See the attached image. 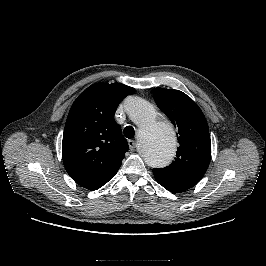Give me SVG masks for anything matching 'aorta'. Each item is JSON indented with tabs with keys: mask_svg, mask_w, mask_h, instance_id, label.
Masks as SVG:
<instances>
[{
	"mask_svg": "<svg viewBox=\"0 0 266 266\" xmlns=\"http://www.w3.org/2000/svg\"><path fill=\"white\" fill-rule=\"evenodd\" d=\"M126 110L130 119L138 126L139 147L145 162L151 167L168 165L176 151L171 124L158 121L155 108L139 97L129 98Z\"/></svg>",
	"mask_w": 266,
	"mask_h": 266,
	"instance_id": "obj_1",
	"label": "aorta"
}]
</instances>
